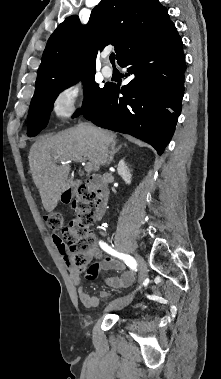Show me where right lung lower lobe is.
<instances>
[{
	"label": "right lung lower lobe",
	"mask_w": 221,
	"mask_h": 379,
	"mask_svg": "<svg viewBox=\"0 0 221 379\" xmlns=\"http://www.w3.org/2000/svg\"><path fill=\"white\" fill-rule=\"evenodd\" d=\"M184 59L182 40L172 22L119 60L132 80L121 89L109 84L84 117L102 128L142 139L161 155L181 113Z\"/></svg>",
	"instance_id": "1"
}]
</instances>
